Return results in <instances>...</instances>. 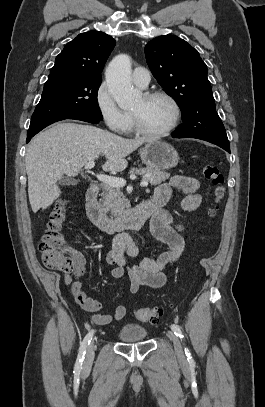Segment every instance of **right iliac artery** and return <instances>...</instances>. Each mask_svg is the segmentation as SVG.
I'll return each mask as SVG.
<instances>
[{
    "label": "right iliac artery",
    "mask_w": 265,
    "mask_h": 407,
    "mask_svg": "<svg viewBox=\"0 0 265 407\" xmlns=\"http://www.w3.org/2000/svg\"><path fill=\"white\" fill-rule=\"evenodd\" d=\"M93 334H94V331L93 330L90 331L85 336V338L83 339V341H82V343L80 345L77 360H76V364H75V368H74L75 372H79L81 370V368H82V363H83V360H84L86 349H87V346L90 344V342L92 340Z\"/></svg>",
    "instance_id": "right-iliac-artery-1"
}]
</instances>
